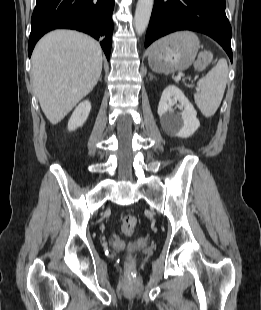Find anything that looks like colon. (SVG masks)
<instances>
[{
  "instance_id": "1",
  "label": "colon",
  "mask_w": 261,
  "mask_h": 310,
  "mask_svg": "<svg viewBox=\"0 0 261 310\" xmlns=\"http://www.w3.org/2000/svg\"><path fill=\"white\" fill-rule=\"evenodd\" d=\"M213 61V55L210 51L201 52L198 56V59L195 63V68L199 71L206 69ZM137 226V218L134 215L127 214L122 218L121 229L122 232L130 236L134 233L135 228ZM134 260L131 256H128L126 259V264L128 266H132Z\"/></svg>"
}]
</instances>
